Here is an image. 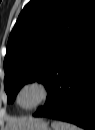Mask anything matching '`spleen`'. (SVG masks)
<instances>
[{
  "label": "spleen",
  "instance_id": "obj_1",
  "mask_svg": "<svg viewBox=\"0 0 95 130\" xmlns=\"http://www.w3.org/2000/svg\"><path fill=\"white\" fill-rule=\"evenodd\" d=\"M51 127L53 128V130H80L79 127L73 124L63 122V121H58V120H54L51 123Z\"/></svg>",
  "mask_w": 95,
  "mask_h": 130
}]
</instances>
